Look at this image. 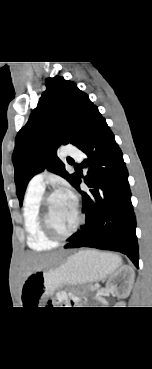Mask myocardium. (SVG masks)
Segmentation results:
<instances>
[{"label":"myocardium","mask_w":152,"mask_h":369,"mask_svg":"<svg viewBox=\"0 0 152 369\" xmlns=\"http://www.w3.org/2000/svg\"><path fill=\"white\" fill-rule=\"evenodd\" d=\"M58 193L59 191L49 192L43 195L41 202H40V224H41L42 230L44 231V233L50 240H53L55 242H61L73 236L79 230L80 226L82 225L84 221V216L80 210L78 202L74 198V201H75L74 204L76 207V214H77V220L74 226L69 232L64 233V234H61L55 230L51 222V217H50V200L54 195Z\"/></svg>","instance_id":"obj_1"}]
</instances>
